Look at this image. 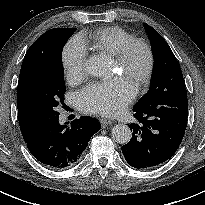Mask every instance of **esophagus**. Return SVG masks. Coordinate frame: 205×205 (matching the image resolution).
I'll return each instance as SVG.
<instances>
[{
	"label": "esophagus",
	"mask_w": 205,
	"mask_h": 205,
	"mask_svg": "<svg viewBox=\"0 0 205 205\" xmlns=\"http://www.w3.org/2000/svg\"><path fill=\"white\" fill-rule=\"evenodd\" d=\"M99 122L102 125V127H106V126L113 123L111 120H108V119H105V118H99Z\"/></svg>",
	"instance_id": "1"
}]
</instances>
